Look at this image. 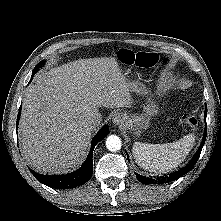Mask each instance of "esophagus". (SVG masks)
<instances>
[{"label":"esophagus","instance_id":"34e87169","mask_svg":"<svg viewBox=\"0 0 221 221\" xmlns=\"http://www.w3.org/2000/svg\"><path fill=\"white\" fill-rule=\"evenodd\" d=\"M113 124L115 126H122L124 124V115L123 113L116 112L112 118Z\"/></svg>","mask_w":221,"mask_h":221}]
</instances>
